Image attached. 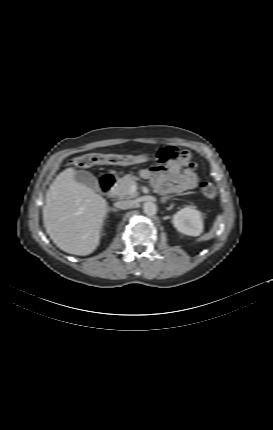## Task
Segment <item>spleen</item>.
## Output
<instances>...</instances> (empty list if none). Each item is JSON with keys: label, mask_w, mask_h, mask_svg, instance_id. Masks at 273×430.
Here are the masks:
<instances>
[{"label": "spleen", "mask_w": 273, "mask_h": 430, "mask_svg": "<svg viewBox=\"0 0 273 430\" xmlns=\"http://www.w3.org/2000/svg\"><path fill=\"white\" fill-rule=\"evenodd\" d=\"M223 221V216L222 215H218L217 219L215 221V227L218 226L221 222Z\"/></svg>", "instance_id": "1"}]
</instances>
